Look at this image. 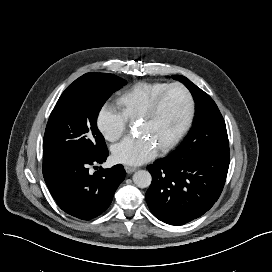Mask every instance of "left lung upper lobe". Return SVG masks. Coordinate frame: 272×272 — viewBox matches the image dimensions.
<instances>
[{
    "instance_id": "1",
    "label": "left lung upper lobe",
    "mask_w": 272,
    "mask_h": 272,
    "mask_svg": "<svg viewBox=\"0 0 272 272\" xmlns=\"http://www.w3.org/2000/svg\"><path fill=\"white\" fill-rule=\"evenodd\" d=\"M173 78L186 85L196 103L194 125L187 137L172 153L198 155L229 151V141L223 117L212 98L188 78L174 75Z\"/></svg>"
}]
</instances>
